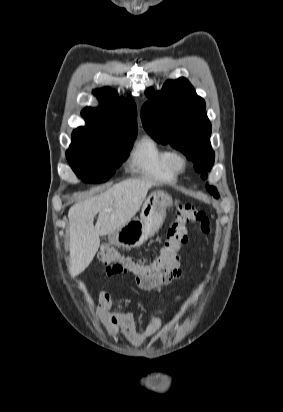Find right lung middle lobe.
Masks as SVG:
<instances>
[{
  "instance_id": "right-lung-middle-lobe-1",
  "label": "right lung middle lobe",
  "mask_w": 283,
  "mask_h": 412,
  "mask_svg": "<svg viewBox=\"0 0 283 412\" xmlns=\"http://www.w3.org/2000/svg\"><path fill=\"white\" fill-rule=\"evenodd\" d=\"M135 138L136 133L98 137L74 130L66 157L73 171L84 182H105L127 158Z\"/></svg>"
}]
</instances>
